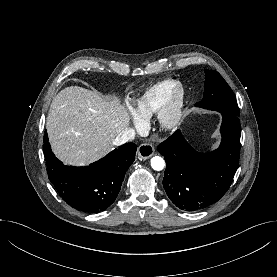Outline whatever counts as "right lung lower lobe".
Wrapping results in <instances>:
<instances>
[{
	"instance_id": "98d812e1",
	"label": "right lung lower lobe",
	"mask_w": 277,
	"mask_h": 277,
	"mask_svg": "<svg viewBox=\"0 0 277 277\" xmlns=\"http://www.w3.org/2000/svg\"><path fill=\"white\" fill-rule=\"evenodd\" d=\"M43 142L49 179L63 200L85 213H99L114 202L137 150L136 144L126 143L89 166L73 167L54 156L47 133Z\"/></svg>"
}]
</instances>
